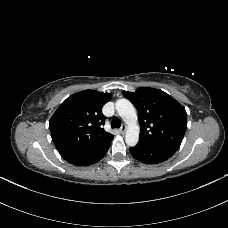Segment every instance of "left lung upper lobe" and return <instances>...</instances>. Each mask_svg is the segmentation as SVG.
<instances>
[{"label":"left lung upper lobe","instance_id":"5c2ea615","mask_svg":"<svg viewBox=\"0 0 228 228\" xmlns=\"http://www.w3.org/2000/svg\"><path fill=\"white\" fill-rule=\"evenodd\" d=\"M138 110L140 137L138 144L177 151L183 140L187 117L185 108L162 90L140 87L123 91Z\"/></svg>","mask_w":228,"mask_h":228}]
</instances>
